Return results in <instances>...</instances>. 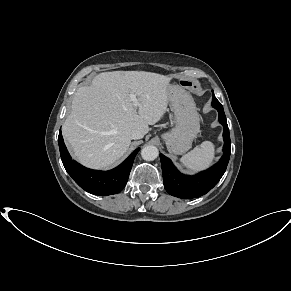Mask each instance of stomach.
Here are the masks:
<instances>
[{"mask_svg":"<svg viewBox=\"0 0 291 291\" xmlns=\"http://www.w3.org/2000/svg\"><path fill=\"white\" fill-rule=\"evenodd\" d=\"M168 101L174 112L175 127L162 135L167 149L173 154H183L192 145L200 130L199 117L191 94L182 86L168 87Z\"/></svg>","mask_w":291,"mask_h":291,"instance_id":"1","label":"stomach"}]
</instances>
